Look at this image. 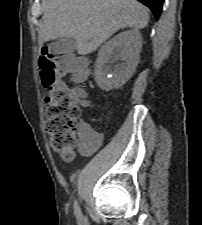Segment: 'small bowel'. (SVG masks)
Returning a JSON list of instances; mask_svg holds the SVG:
<instances>
[{
  "mask_svg": "<svg viewBox=\"0 0 202 225\" xmlns=\"http://www.w3.org/2000/svg\"><path fill=\"white\" fill-rule=\"evenodd\" d=\"M80 95L83 98L82 101V105L84 107H88L89 106V102L86 99L87 97V93L84 90L80 91ZM81 127L82 128H90L91 133L88 135V146L87 147H80V153L83 155H90L92 153H94L95 151L99 150L101 147H103L104 143H105V137L104 135L97 131L93 124L90 121H86L83 120L81 122Z\"/></svg>",
  "mask_w": 202,
  "mask_h": 225,
  "instance_id": "1",
  "label": "small bowel"
}]
</instances>
